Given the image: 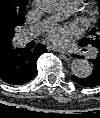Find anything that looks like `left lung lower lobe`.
I'll list each match as a JSON object with an SVG mask.
<instances>
[{
	"instance_id": "0a47b994",
	"label": "left lung lower lobe",
	"mask_w": 100,
	"mask_h": 118,
	"mask_svg": "<svg viewBox=\"0 0 100 118\" xmlns=\"http://www.w3.org/2000/svg\"><path fill=\"white\" fill-rule=\"evenodd\" d=\"M90 61L92 64V72L90 75L84 78L72 76L74 82L84 87H96L100 85V48H98L96 57Z\"/></svg>"
}]
</instances>
